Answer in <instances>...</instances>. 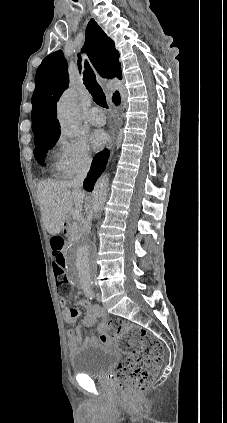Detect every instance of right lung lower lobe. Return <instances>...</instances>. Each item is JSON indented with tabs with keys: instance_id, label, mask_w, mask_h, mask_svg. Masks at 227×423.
Returning <instances> with one entry per match:
<instances>
[{
	"instance_id": "98d812e1",
	"label": "right lung lower lobe",
	"mask_w": 227,
	"mask_h": 423,
	"mask_svg": "<svg viewBox=\"0 0 227 423\" xmlns=\"http://www.w3.org/2000/svg\"><path fill=\"white\" fill-rule=\"evenodd\" d=\"M115 104L117 105L118 103ZM108 157L109 151L107 149L98 153L94 157L90 172L88 173L87 178L84 180V189H86L87 191L93 190V186L97 178L105 169Z\"/></svg>"
}]
</instances>
